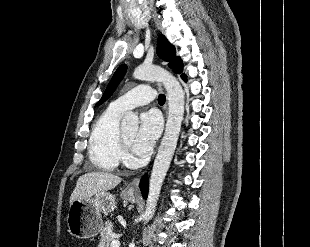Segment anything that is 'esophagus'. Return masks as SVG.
Listing matches in <instances>:
<instances>
[{
  "label": "esophagus",
  "instance_id": "esophagus-1",
  "mask_svg": "<svg viewBox=\"0 0 310 247\" xmlns=\"http://www.w3.org/2000/svg\"><path fill=\"white\" fill-rule=\"evenodd\" d=\"M140 182V178H135L131 184H130V188L133 190V191H137L138 190V184Z\"/></svg>",
  "mask_w": 310,
  "mask_h": 247
}]
</instances>
